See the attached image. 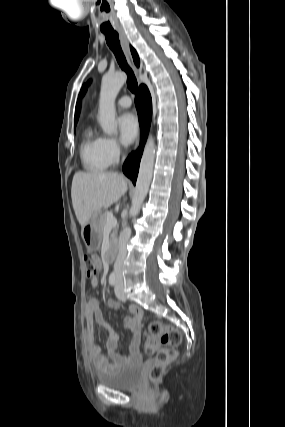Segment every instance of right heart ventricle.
<instances>
[{"mask_svg": "<svg viewBox=\"0 0 285 427\" xmlns=\"http://www.w3.org/2000/svg\"><path fill=\"white\" fill-rule=\"evenodd\" d=\"M80 158L83 167L90 172L103 171L110 165L104 150V138L97 135L91 127L83 132Z\"/></svg>", "mask_w": 285, "mask_h": 427, "instance_id": "right-heart-ventricle-1", "label": "right heart ventricle"}]
</instances>
